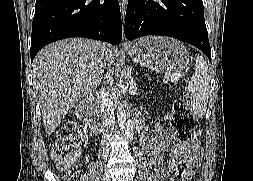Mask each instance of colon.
Segmentation results:
<instances>
[{
  "instance_id": "obj_1",
  "label": "colon",
  "mask_w": 253,
  "mask_h": 181,
  "mask_svg": "<svg viewBox=\"0 0 253 181\" xmlns=\"http://www.w3.org/2000/svg\"><path fill=\"white\" fill-rule=\"evenodd\" d=\"M170 122L179 141H190L196 137L197 120L189 110L187 95L177 98L172 107ZM83 140V135L76 122H68L59 132L53 148L52 156L60 168L70 171L75 165ZM191 165L188 161H181L171 181H186Z\"/></svg>"
}]
</instances>
